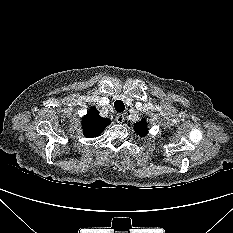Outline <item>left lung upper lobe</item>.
I'll return each mask as SVG.
<instances>
[{
  "label": "left lung upper lobe",
  "mask_w": 233,
  "mask_h": 233,
  "mask_svg": "<svg viewBox=\"0 0 233 233\" xmlns=\"http://www.w3.org/2000/svg\"><path fill=\"white\" fill-rule=\"evenodd\" d=\"M134 130L140 136H145L147 134V132H148V127H147L146 120L139 121V122L135 123Z\"/></svg>",
  "instance_id": "1"
}]
</instances>
